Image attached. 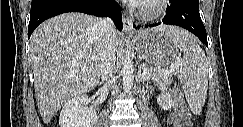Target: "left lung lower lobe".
Returning a JSON list of instances; mask_svg holds the SVG:
<instances>
[{"mask_svg": "<svg viewBox=\"0 0 243 127\" xmlns=\"http://www.w3.org/2000/svg\"><path fill=\"white\" fill-rule=\"evenodd\" d=\"M162 22L183 27L195 34L203 44L208 46L205 27L199 14V0H173ZM161 22L148 25L157 26ZM146 26V27H148ZM136 27V25H134ZM140 28V26H138Z\"/></svg>", "mask_w": 243, "mask_h": 127, "instance_id": "obj_1", "label": "left lung lower lobe"}]
</instances>
